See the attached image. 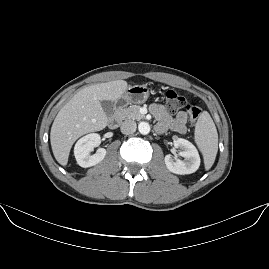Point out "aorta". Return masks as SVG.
I'll use <instances>...</instances> for the list:
<instances>
[{
	"instance_id": "obj_1",
	"label": "aorta",
	"mask_w": 269,
	"mask_h": 269,
	"mask_svg": "<svg viewBox=\"0 0 269 269\" xmlns=\"http://www.w3.org/2000/svg\"><path fill=\"white\" fill-rule=\"evenodd\" d=\"M138 129L141 134L146 135L150 132V125L147 122H140Z\"/></svg>"
}]
</instances>
